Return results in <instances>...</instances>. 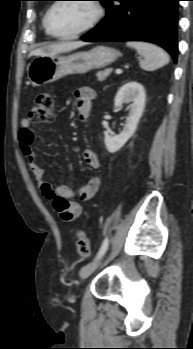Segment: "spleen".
Here are the masks:
<instances>
[{
    "label": "spleen",
    "mask_w": 193,
    "mask_h": 349,
    "mask_svg": "<svg viewBox=\"0 0 193 349\" xmlns=\"http://www.w3.org/2000/svg\"><path fill=\"white\" fill-rule=\"evenodd\" d=\"M127 46L136 49L138 54L143 57L139 63L143 70L153 71L170 62L169 55L162 48L154 44L129 41L127 42Z\"/></svg>",
    "instance_id": "3e777b00"
}]
</instances>
